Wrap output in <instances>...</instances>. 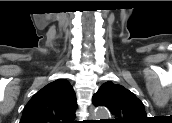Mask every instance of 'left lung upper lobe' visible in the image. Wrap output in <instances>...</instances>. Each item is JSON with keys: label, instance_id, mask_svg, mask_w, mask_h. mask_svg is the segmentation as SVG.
<instances>
[{"label": "left lung upper lobe", "instance_id": "obj_1", "mask_svg": "<svg viewBox=\"0 0 172 123\" xmlns=\"http://www.w3.org/2000/svg\"><path fill=\"white\" fill-rule=\"evenodd\" d=\"M95 106H105L114 119L111 123H143L147 120L144 105L131 91L111 81L104 83L92 98Z\"/></svg>", "mask_w": 172, "mask_h": 123}]
</instances>
